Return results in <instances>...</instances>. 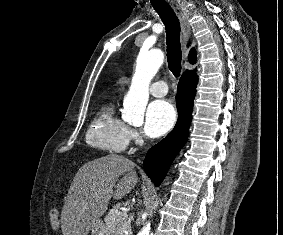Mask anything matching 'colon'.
<instances>
[{
  "label": "colon",
  "mask_w": 283,
  "mask_h": 235,
  "mask_svg": "<svg viewBox=\"0 0 283 235\" xmlns=\"http://www.w3.org/2000/svg\"><path fill=\"white\" fill-rule=\"evenodd\" d=\"M50 218L53 221H57L58 220V210L56 208H53L50 212Z\"/></svg>",
  "instance_id": "5ec220e1"
}]
</instances>
